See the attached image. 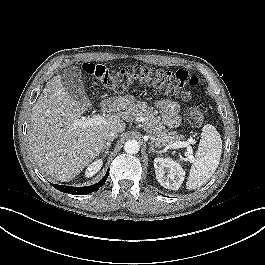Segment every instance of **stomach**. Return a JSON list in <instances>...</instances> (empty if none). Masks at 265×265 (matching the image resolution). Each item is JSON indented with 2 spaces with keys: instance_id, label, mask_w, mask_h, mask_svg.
Masks as SVG:
<instances>
[{
  "instance_id": "stomach-1",
  "label": "stomach",
  "mask_w": 265,
  "mask_h": 265,
  "mask_svg": "<svg viewBox=\"0 0 265 265\" xmlns=\"http://www.w3.org/2000/svg\"><path fill=\"white\" fill-rule=\"evenodd\" d=\"M134 101L131 98H127L126 101H124V103H127V109L129 108L130 105L134 104Z\"/></svg>"
}]
</instances>
